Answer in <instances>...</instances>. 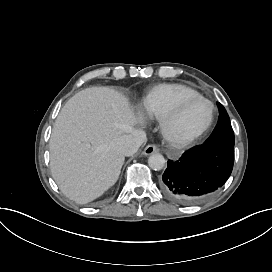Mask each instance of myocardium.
<instances>
[{"label":"myocardium","instance_id":"f54148a6","mask_svg":"<svg viewBox=\"0 0 272 272\" xmlns=\"http://www.w3.org/2000/svg\"><path fill=\"white\" fill-rule=\"evenodd\" d=\"M194 100H203L208 104V106L210 108L209 119H208L207 123L198 130L191 131V132H182V131L176 129L175 127L170 128L167 118H164L163 123H162V127H163L164 132L166 134H170L172 139L175 140L176 142H179V143L188 142V141H191V140L201 136L202 134H204L205 132H207L211 128V126L214 122L215 115H216V107L210 99H208L207 97L200 95V94H196V95H192V96H188V97L183 98L176 105V107L174 109V111L176 112V116L178 117L183 112L185 107L190 102H192Z\"/></svg>","mask_w":272,"mask_h":272}]
</instances>
